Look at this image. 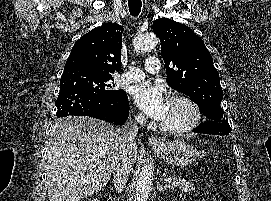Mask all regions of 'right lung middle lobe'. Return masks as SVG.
<instances>
[{"instance_id": "dd1d6c3e", "label": "right lung middle lobe", "mask_w": 271, "mask_h": 201, "mask_svg": "<svg viewBox=\"0 0 271 201\" xmlns=\"http://www.w3.org/2000/svg\"><path fill=\"white\" fill-rule=\"evenodd\" d=\"M112 75L90 72L82 69L64 71L60 80V94L89 93L113 96L123 92L111 83Z\"/></svg>"}]
</instances>
